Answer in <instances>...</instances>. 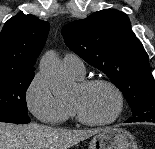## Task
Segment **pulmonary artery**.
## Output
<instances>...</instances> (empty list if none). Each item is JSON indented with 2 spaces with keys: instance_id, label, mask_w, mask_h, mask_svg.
I'll list each match as a JSON object with an SVG mask.
<instances>
[{
  "instance_id": "e3ab8cb5",
  "label": "pulmonary artery",
  "mask_w": 155,
  "mask_h": 149,
  "mask_svg": "<svg viewBox=\"0 0 155 149\" xmlns=\"http://www.w3.org/2000/svg\"><path fill=\"white\" fill-rule=\"evenodd\" d=\"M63 67L66 72L77 77L82 78L85 74V67L83 60L76 54H66L63 58Z\"/></svg>"
}]
</instances>
